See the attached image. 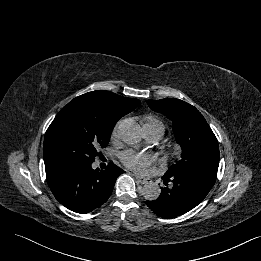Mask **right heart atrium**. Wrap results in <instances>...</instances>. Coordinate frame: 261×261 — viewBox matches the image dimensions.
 I'll return each instance as SVG.
<instances>
[{
  "label": "right heart atrium",
  "instance_id": "1",
  "mask_svg": "<svg viewBox=\"0 0 261 261\" xmlns=\"http://www.w3.org/2000/svg\"><path fill=\"white\" fill-rule=\"evenodd\" d=\"M117 133H118V125H116V126L113 128V130H112V132H111V137H112V138H115V137L117 136Z\"/></svg>",
  "mask_w": 261,
  "mask_h": 261
}]
</instances>
